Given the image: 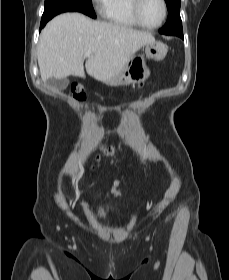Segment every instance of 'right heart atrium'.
I'll use <instances>...</instances> for the list:
<instances>
[{
    "instance_id": "obj_1",
    "label": "right heart atrium",
    "mask_w": 229,
    "mask_h": 280,
    "mask_svg": "<svg viewBox=\"0 0 229 280\" xmlns=\"http://www.w3.org/2000/svg\"><path fill=\"white\" fill-rule=\"evenodd\" d=\"M108 0H92L94 8L98 12H103Z\"/></svg>"
}]
</instances>
